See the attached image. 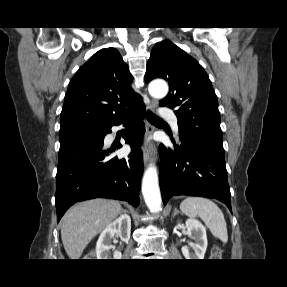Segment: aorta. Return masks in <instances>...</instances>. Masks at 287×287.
I'll return each instance as SVG.
<instances>
[{
  "label": "aorta",
  "mask_w": 287,
  "mask_h": 287,
  "mask_svg": "<svg viewBox=\"0 0 287 287\" xmlns=\"http://www.w3.org/2000/svg\"><path fill=\"white\" fill-rule=\"evenodd\" d=\"M148 91L152 97L160 99L167 95L168 86L164 81H154L150 83ZM142 194L145 203L151 212H159L162 210L158 173L154 164H150L144 173Z\"/></svg>",
  "instance_id": "1"
}]
</instances>
